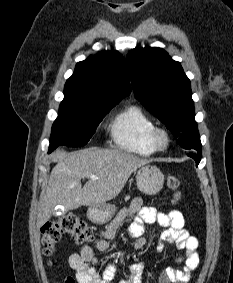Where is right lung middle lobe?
Returning <instances> with one entry per match:
<instances>
[{"label":"right lung middle lobe","instance_id":"obj_1","mask_svg":"<svg viewBox=\"0 0 233 283\" xmlns=\"http://www.w3.org/2000/svg\"><path fill=\"white\" fill-rule=\"evenodd\" d=\"M115 105H96L64 94L59 115L52 126L49 153L59 145L81 147L88 143L97 126Z\"/></svg>","mask_w":233,"mask_h":283}]
</instances>
